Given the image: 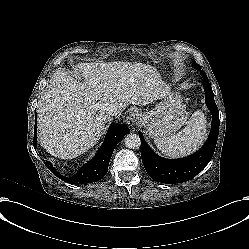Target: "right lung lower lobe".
<instances>
[{
	"label": "right lung lower lobe",
	"mask_w": 249,
	"mask_h": 249,
	"mask_svg": "<svg viewBox=\"0 0 249 249\" xmlns=\"http://www.w3.org/2000/svg\"><path fill=\"white\" fill-rule=\"evenodd\" d=\"M36 125V124H35ZM129 128L124 124H114L109 127L106 138L98 150L95 157L85 164L76 175L67 178L61 176L56 172L50 162H45V165L53 172L56 176L63 179L64 181L72 184H86L100 180L108 171V165L112 153L116 145L123 139V137L129 133ZM36 126L34 128V147L37 144V133Z\"/></svg>",
	"instance_id": "right-lung-lower-lobe-1"
}]
</instances>
